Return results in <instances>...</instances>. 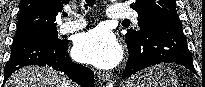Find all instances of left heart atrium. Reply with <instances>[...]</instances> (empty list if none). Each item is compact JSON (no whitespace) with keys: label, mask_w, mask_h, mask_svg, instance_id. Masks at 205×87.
<instances>
[{"label":"left heart atrium","mask_w":205,"mask_h":87,"mask_svg":"<svg viewBox=\"0 0 205 87\" xmlns=\"http://www.w3.org/2000/svg\"><path fill=\"white\" fill-rule=\"evenodd\" d=\"M74 55L81 62L99 68H111L120 61L122 51L111 32L95 28L77 38Z\"/></svg>","instance_id":"left-heart-atrium-1"}]
</instances>
